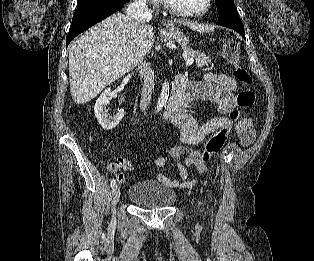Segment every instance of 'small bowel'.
Returning <instances> with one entry per match:
<instances>
[{"instance_id":"c3829d8e","label":"small bowel","mask_w":314,"mask_h":261,"mask_svg":"<svg viewBox=\"0 0 314 261\" xmlns=\"http://www.w3.org/2000/svg\"><path fill=\"white\" fill-rule=\"evenodd\" d=\"M185 83L189 91L194 94L192 100H207L219 105V115L212 117L203 124L190 114L181 111L171 122L180 130L182 145L173 147L169 154L171 160L176 165L181 181L176 178L168 177L164 174H157V180L171 188L191 185V180L187 170L188 166H195L197 169L206 174L209 166L199 162V154L190 149L189 146L201 144L205 138L216 132L219 128L230 121V113L236 107V93L238 84L226 74H205L201 79L188 81L185 77ZM241 143L248 146L253 143L255 132L252 122L247 118H241L235 121ZM168 160L165 157H158L155 165L159 169L167 166ZM108 170L117 174L119 184L126 182V175L123 171L130 172L133 170V162L130 158H118L108 164Z\"/></svg>"}]
</instances>
